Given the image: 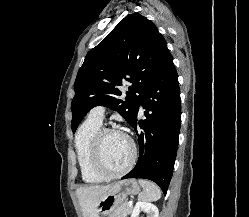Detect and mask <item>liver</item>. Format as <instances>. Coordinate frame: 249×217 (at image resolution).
<instances>
[{"mask_svg":"<svg viewBox=\"0 0 249 217\" xmlns=\"http://www.w3.org/2000/svg\"><path fill=\"white\" fill-rule=\"evenodd\" d=\"M110 187L111 185L87 186L77 189L76 195L84 217H99L97 209L98 199Z\"/></svg>","mask_w":249,"mask_h":217,"instance_id":"6515ba94","label":"liver"}]
</instances>
